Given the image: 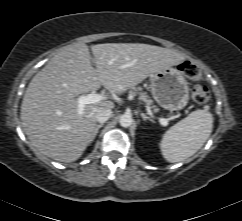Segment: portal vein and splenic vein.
Here are the masks:
<instances>
[{
	"mask_svg": "<svg viewBox=\"0 0 242 221\" xmlns=\"http://www.w3.org/2000/svg\"><path fill=\"white\" fill-rule=\"evenodd\" d=\"M104 98H105L104 95H102V94H95V93L79 96L77 98V101H78V113L80 115H82L85 105L100 102ZM159 121H160V123L163 126H167L168 125V120L165 119V118H160Z\"/></svg>",
	"mask_w": 242,
	"mask_h": 221,
	"instance_id": "portal-vein-and-splenic-vein-1",
	"label": "portal vein and splenic vein"
}]
</instances>
